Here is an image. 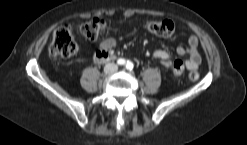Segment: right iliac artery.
Returning a JSON list of instances; mask_svg holds the SVG:
<instances>
[{"label": "right iliac artery", "mask_w": 247, "mask_h": 145, "mask_svg": "<svg viewBox=\"0 0 247 145\" xmlns=\"http://www.w3.org/2000/svg\"><path fill=\"white\" fill-rule=\"evenodd\" d=\"M125 63H126V61L124 60V59H119L118 61H117V64L118 65H125Z\"/></svg>", "instance_id": "1"}]
</instances>
